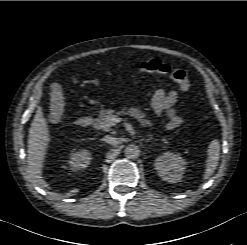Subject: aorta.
<instances>
[{
  "instance_id": "aorta-1",
  "label": "aorta",
  "mask_w": 247,
  "mask_h": 245,
  "mask_svg": "<svg viewBox=\"0 0 247 245\" xmlns=\"http://www.w3.org/2000/svg\"><path fill=\"white\" fill-rule=\"evenodd\" d=\"M124 154L128 159H136L140 155L139 147L135 144L127 145Z\"/></svg>"
}]
</instances>
